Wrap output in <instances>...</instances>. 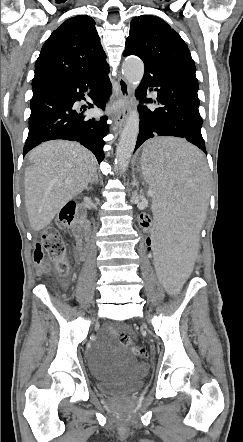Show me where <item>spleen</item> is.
Listing matches in <instances>:
<instances>
[{"label": "spleen", "mask_w": 243, "mask_h": 442, "mask_svg": "<svg viewBox=\"0 0 243 442\" xmlns=\"http://www.w3.org/2000/svg\"><path fill=\"white\" fill-rule=\"evenodd\" d=\"M138 178L152 184L157 233L151 253L164 291L175 294L190 272L206 213L207 169L203 154L185 140L162 138L147 143Z\"/></svg>", "instance_id": "spleen-1"}]
</instances>
